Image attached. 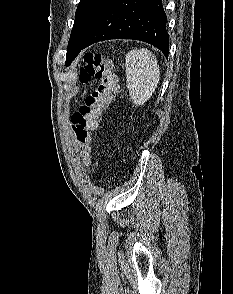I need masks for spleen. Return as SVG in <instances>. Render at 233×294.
Returning a JSON list of instances; mask_svg holds the SVG:
<instances>
[{
    "label": "spleen",
    "mask_w": 233,
    "mask_h": 294,
    "mask_svg": "<svg viewBox=\"0 0 233 294\" xmlns=\"http://www.w3.org/2000/svg\"><path fill=\"white\" fill-rule=\"evenodd\" d=\"M129 95L135 106L144 105L154 93L160 79V68L147 48L130 50L125 58Z\"/></svg>",
    "instance_id": "obj_1"
}]
</instances>
